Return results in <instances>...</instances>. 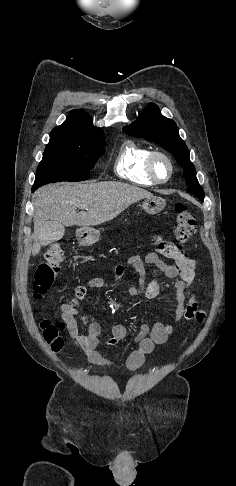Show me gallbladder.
I'll return each instance as SVG.
<instances>
[{
  "label": "gallbladder",
  "instance_id": "1",
  "mask_svg": "<svg viewBox=\"0 0 236 486\" xmlns=\"http://www.w3.org/2000/svg\"><path fill=\"white\" fill-rule=\"evenodd\" d=\"M64 231L65 228L63 224L55 221H50L45 228V235L48 239L45 240L44 245L60 240L64 235Z\"/></svg>",
  "mask_w": 236,
  "mask_h": 486
}]
</instances>
